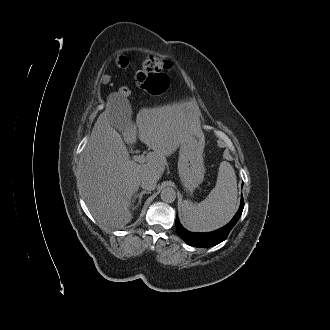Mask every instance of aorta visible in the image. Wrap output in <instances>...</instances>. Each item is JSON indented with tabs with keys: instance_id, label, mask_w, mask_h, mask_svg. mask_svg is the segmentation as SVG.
I'll use <instances>...</instances> for the list:
<instances>
[{
	"instance_id": "762f6f07",
	"label": "aorta",
	"mask_w": 330,
	"mask_h": 330,
	"mask_svg": "<svg viewBox=\"0 0 330 330\" xmlns=\"http://www.w3.org/2000/svg\"><path fill=\"white\" fill-rule=\"evenodd\" d=\"M161 199L166 203H173L176 199V191L172 187H165L161 191Z\"/></svg>"
}]
</instances>
